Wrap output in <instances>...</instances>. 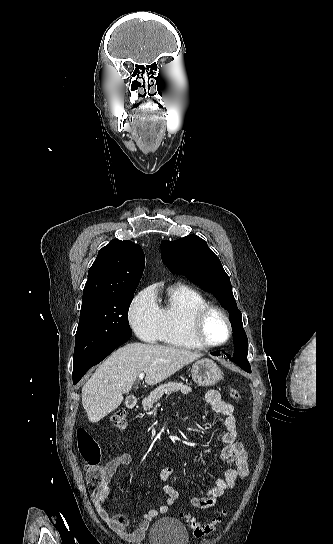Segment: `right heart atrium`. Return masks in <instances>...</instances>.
Returning a JSON list of instances; mask_svg holds the SVG:
<instances>
[{"label":"right heart atrium","mask_w":333,"mask_h":544,"mask_svg":"<svg viewBox=\"0 0 333 544\" xmlns=\"http://www.w3.org/2000/svg\"><path fill=\"white\" fill-rule=\"evenodd\" d=\"M129 322L141 340L148 343L161 340L162 317L152 288H145L134 298L129 309Z\"/></svg>","instance_id":"1"}]
</instances>
